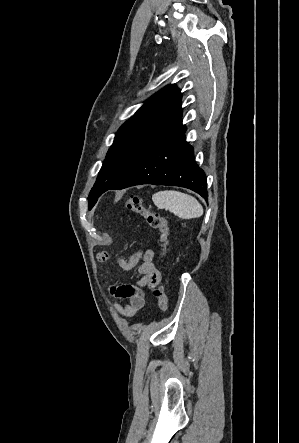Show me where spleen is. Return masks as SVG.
Segmentation results:
<instances>
[{
  "label": "spleen",
  "instance_id": "1",
  "mask_svg": "<svg viewBox=\"0 0 299 443\" xmlns=\"http://www.w3.org/2000/svg\"><path fill=\"white\" fill-rule=\"evenodd\" d=\"M152 200L159 209L169 210L182 219L199 218L203 215V207L197 199L179 191H160L153 194Z\"/></svg>",
  "mask_w": 299,
  "mask_h": 443
}]
</instances>
